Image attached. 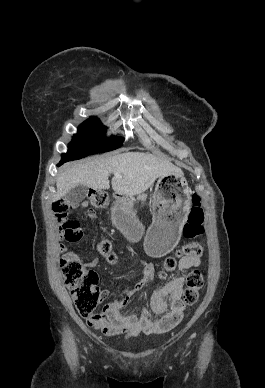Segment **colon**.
<instances>
[{
  "mask_svg": "<svg viewBox=\"0 0 265 388\" xmlns=\"http://www.w3.org/2000/svg\"><path fill=\"white\" fill-rule=\"evenodd\" d=\"M93 206L101 208L107 205L108 195L101 190H94L89 195ZM68 205L64 202L55 204V211L61 223V236L67 242H76L81 239L82 232L79 223L67 218ZM204 213L201 207V198L197 193L192 195V208L183 227V235L194 239L203 235ZM99 252L109 261L114 262L116 256L113 252V244L109 239H103L98 245ZM202 243L193 242L184 245L174 256L167 257L160 272V278L165 279L177 267L179 257H200L203 254ZM65 283L69 289L79 314L89 323L99 324L103 320L101 313L96 312L100 301V293L97 287L98 275L95 271L86 268L82 263L73 258H63L60 261ZM204 279L201 270L190 272L186 279V287L183 292V303L193 306L197 303Z\"/></svg>",
  "mask_w": 265,
  "mask_h": 388,
  "instance_id": "1",
  "label": "colon"
}]
</instances>
